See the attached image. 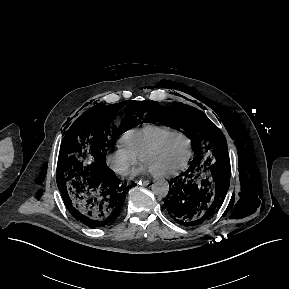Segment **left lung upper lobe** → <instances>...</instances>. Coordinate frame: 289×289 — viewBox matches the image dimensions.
<instances>
[{"label": "left lung upper lobe", "instance_id": "obj_1", "mask_svg": "<svg viewBox=\"0 0 289 289\" xmlns=\"http://www.w3.org/2000/svg\"><path fill=\"white\" fill-rule=\"evenodd\" d=\"M144 115L145 122H160L164 126L184 130L194 144L192 163L214 165L219 169L228 166L225 136L200 110L182 103L161 106L158 102L147 100L142 103L141 118Z\"/></svg>", "mask_w": 289, "mask_h": 289}]
</instances>
